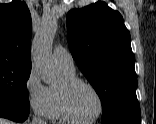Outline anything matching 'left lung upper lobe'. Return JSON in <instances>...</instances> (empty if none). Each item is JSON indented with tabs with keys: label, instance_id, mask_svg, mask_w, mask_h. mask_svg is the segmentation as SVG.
<instances>
[{
	"label": "left lung upper lobe",
	"instance_id": "5c2ea615",
	"mask_svg": "<svg viewBox=\"0 0 156 124\" xmlns=\"http://www.w3.org/2000/svg\"><path fill=\"white\" fill-rule=\"evenodd\" d=\"M68 46L100 97L102 124H141L130 33L118 11L96 2L67 14Z\"/></svg>",
	"mask_w": 156,
	"mask_h": 124
}]
</instances>
